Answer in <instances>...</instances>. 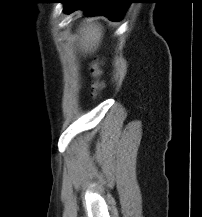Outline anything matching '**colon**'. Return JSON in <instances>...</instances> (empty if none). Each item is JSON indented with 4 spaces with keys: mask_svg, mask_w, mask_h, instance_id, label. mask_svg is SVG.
<instances>
[{
    "mask_svg": "<svg viewBox=\"0 0 202 217\" xmlns=\"http://www.w3.org/2000/svg\"><path fill=\"white\" fill-rule=\"evenodd\" d=\"M90 72L92 77L94 78V89L95 94L101 89L102 83L100 81V75H101V62L95 61L90 68Z\"/></svg>",
    "mask_w": 202,
    "mask_h": 217,
    "instance_id": "obj_1",
    "label": "colon"
}]
</instances>
